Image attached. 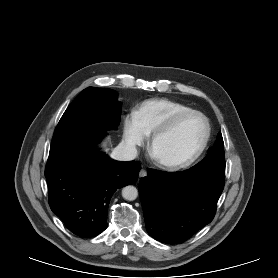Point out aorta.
<instances>
[{"label":"aorta","mask_w":278,"mask_h":278,"mask_svg":"<svg viewBox=\"0 0 278 278\" xmlns=\"http://www.w3.org/2000/svg\"><path fill=\"white\" fill-rule=\"evenodd\" d=\"M137 196H138V190L136 189V187L132 185L126 186L122 189V197L125 200L133 201L137 198Z\"/></svg>","instance_id":"obj_1"}]
</instances>
